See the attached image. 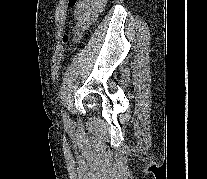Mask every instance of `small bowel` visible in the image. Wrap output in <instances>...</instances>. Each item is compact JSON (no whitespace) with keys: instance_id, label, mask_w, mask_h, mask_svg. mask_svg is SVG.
<instances>
[{"instance_id":"c3829d8e","label":"small bowel","mask_w":207,"mask_h":179,"mask_svg":"<svg viewBox=\"0 0 207 179\" xmlns=\"http://www.w3.org/2000/svg\"><path fill=\"white\" fill-rule=\"evenodd\" d=\"M107 2L108 0H79L76 9V34L78 37L96 21Z\"/></svg>"}]
</instances>
